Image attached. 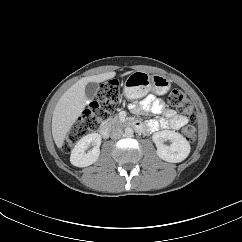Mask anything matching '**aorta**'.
Here are the masks:
<instances>
[{
  "label": "aorta",
  "instance_id": "obj_1",
  "mask_svg": "<svg viewBox=\"0 0 242 242\" xmlns=\"http://www.w3.org/2000/svg\"><path fill=\"white\" fill-rule=\"evenodd\" d=\"M133 133H134V131H133V129L131 127H126L125 128V136L126 137H132Z\"/></svg>",
  "mask_w": 242,
  "mask_h": 242
}]
</instances>
